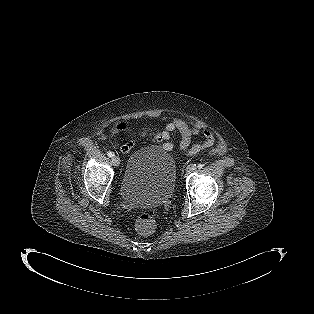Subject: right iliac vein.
<instances>
[{
    "mask_svg": "<svg viewBox=\"0 0 314 314\" xmlns=\"http://www.w3.org/2000/svg\"><path fill=\"white\" fill-rule=\"evenodd\" d=\"M112 163L114 164V166H119L120 164V158L117 156H113L112 157Z\"/></svg>",
    "mask_w": 314,
    "mask_h": 314,
    "instance_id": "obj_1",
    "label": "right iliac vein"
}]
</instances>
